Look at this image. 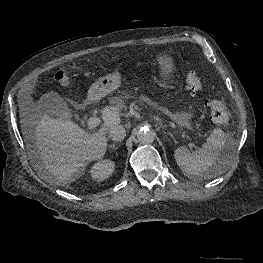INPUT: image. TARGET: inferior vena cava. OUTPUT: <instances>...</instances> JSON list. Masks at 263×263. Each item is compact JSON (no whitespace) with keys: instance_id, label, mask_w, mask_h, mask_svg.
<instances>
[{"instance_id":"602c4592","label":"inferior vena cava","mask_w":263,"mask_h":263,"mask_svg":"<svg viewBox=\"0 0 263 263\" xmlns=\"http://www.w3.org/2000/svg\"><path fill=\"white\" fill-rule=\"evenodd\" d=\"M126 136V130L121 125H115L110 128L109 137L113 141H122Z\"/></svg>"}]
</instances>
